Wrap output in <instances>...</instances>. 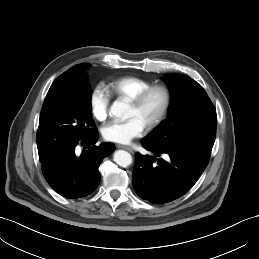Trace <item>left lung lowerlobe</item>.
I'll return each mask as SVG.
<instances>
[{
  "instance_id": "left-lung-lower-lobe-1",
  "label": "left lung lower lobe",
  "mask_w": 259,
  "mask_h": 259,
  "mask_svg": "<svg viewBox=\"0 0 259 259\" xmlns=\"http://www.w3.org/2000/svg\"><path fill=\"white\" fill-rule=\"evenodd\" d=\"M141 144L153 156L135 154L133 186L140 198L155 204L171 202L187 193L207 167L213 147L196 143L170 149L145 139ZM163 154H168L171 160L165 161Z\"/></svg>"
}]
</instances>
